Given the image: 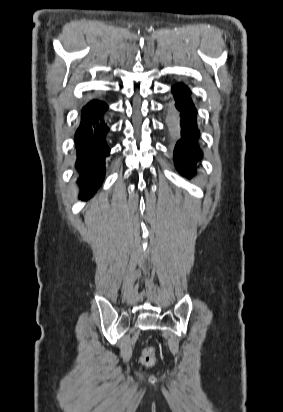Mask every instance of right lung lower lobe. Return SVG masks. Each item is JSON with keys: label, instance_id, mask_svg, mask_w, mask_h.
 I'll return each instance as SVG.
<instances>
[{"label": "right lung lower lobe", "instance_id": "right-lung-lower-lobe-1", "mask_svg": "<svg viewBox=\"0 0 283 412\" xmlns=\"http://www.w3.org/2000/svg\"><path fill=\"white\" fill-rule=\"evenodd\" d=\"M107 108L104 102L93 100L88 103L82 109L75 134L82 199L90 198L97 191L105 175L104 160L110 152L105 140L109 132L104 120Z\"/></svg>", "mask_w": 283, "mask_h": 412}]
</instances>
